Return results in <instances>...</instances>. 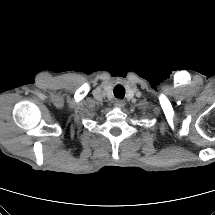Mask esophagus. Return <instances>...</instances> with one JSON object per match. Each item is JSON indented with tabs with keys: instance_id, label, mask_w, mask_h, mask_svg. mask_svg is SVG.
I'll list each match as a JSON object with an SVG mask.
<instances>
[{
	"instance_id": "esophagus-1",
	"label": "esophagus",
	"mask_w": 215,
	"mask_h": 215,
	"mask_svg": "<svg viewBox=\"0 0 215 215\" xmlns=\"http://www.w3.org/2000/svg\"><path fill=\"white\" fill-rule=\"evenodd\" d=\"M114 105L116 108H122L125 105V102L122 100H116Z\"/></svg>"
}]
</instances>
